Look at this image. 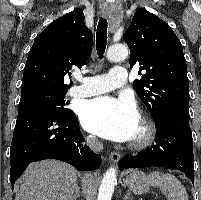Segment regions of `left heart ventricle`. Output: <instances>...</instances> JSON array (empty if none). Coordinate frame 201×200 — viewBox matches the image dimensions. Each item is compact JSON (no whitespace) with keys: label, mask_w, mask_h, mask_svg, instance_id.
<instances>
[{"label":"left heart ventricle","mask_w":201,"mask_h":200,"mask_svg":"<svg viewBox=\"0 0 201 200\" xmlns=\"http://www.w3.org/2000/svg\"><path fill=\"white\" fill-rule=\"evenodd\" d=\"M140 132H141V125H140V123H139V124H138V128H137V131H136V134H135V136H134L133 139L137 138V137L140 135Z\"/></svg>","instance_id":"obj_1"}]
</instances>
